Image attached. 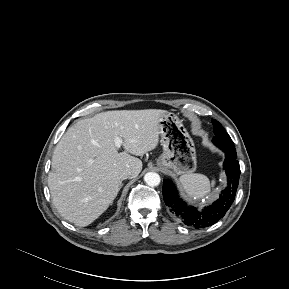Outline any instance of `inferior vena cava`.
Instances as JSON below:
<instances>
[{"label": "inferior vena cava", "mask_w": 289, "mask_h": 289, "mask_svg": "<svg viewBox=\"0 0 289 289\" xmlns=\"http://www.w3.org/2000/svg\"><path fill=\"white\" fill-rule=\"evenodd\" d=\"M131 175H132V170L129 168H126V169L120 171L119 178L121 180H125V179L129 178Z\"/></svg>", "instance_id": "inferior-vena-cava-1"}]
</instances>
